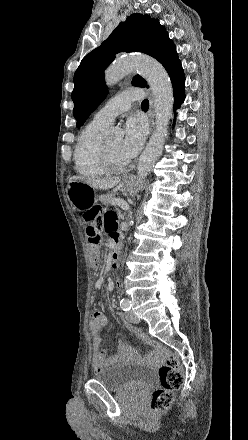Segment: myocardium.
<instances>
[{
  "instance_id": "f54148a6",
  "label": "myocardium",
  "mask_w": 248,
  "mask_h": 440,
  "mask_svg": "<svg viewBox=\"0 0 248 440\" xmlns=\"http://www.w3.org/2000/svg\"><path fill=\"white\" fill-rule=\"evenodd\" d=\"M102 160L108 172L117 173L125 171L128 168V163L119 164L114 160L106 141H103L102 144Z\"/></svg>"
}]
</instances>
